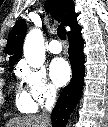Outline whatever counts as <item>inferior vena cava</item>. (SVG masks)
<instances>
[{
  "label": "inferior vena cava",
  "mask_w": 108,
  "mask_h": 127,
  "mask_svg": "<svg viewBox=\"0 0 108 127\" xmlns=\"http://www.w3.org/2000/svg\"><path fill=\"white\" fill-rule=\"evenodd\" d=\"M56 100V89L50 88L46 94V102H45V111L42 113V118L47 124H51V119L49 113L54 107Z\"/></svg>",
  "instance_id": "inferior-vena-cava-1"
}]
</instances>
